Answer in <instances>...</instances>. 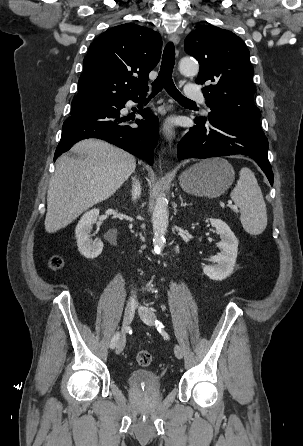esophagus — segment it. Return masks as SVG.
Instances as JSON below:
<instances>
[{
	"label": "esophagus",
	"mask_w": 303,
	"mask_h": 446,
	"mask_svg": "<svg viewBox=\"0 0 303 446\" xmlns=\"http://www.w3.org/2000/svg\"><path fill=\"white\" fill-rule=\"evenodd\" d=\"M170 40L175 45H178V43L180 41L179 34L178 33H173L170 36ZM162 133L170 142H172V140L174 139V136H175V132H174V128H173V126H172V124L170 122H168V121L164 122L163 127H162Z\"/></svg>",
	"instance_id": "1"
}]
</instances>
